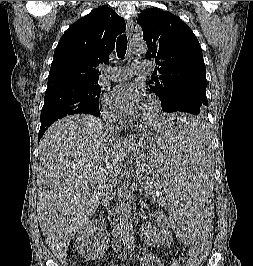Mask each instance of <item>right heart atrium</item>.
<instances>
[{"mask_svg": "<svg viewBox=\"0 0 253 266\" xmlns=\"http://www.w3.org/2000/svg\"><path fill=\"white\" fill-rule=\"evenodd\" d=\"M100 107L105 120L113 122L122 119L120 110L108 95H104L101 98Z\"/></svg>", "mask_w": 253, "mask_h": 266, "instance_id": "d8ad5b80", "label": "right heart atrium"}]
</instances>
